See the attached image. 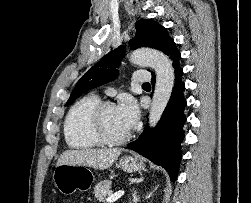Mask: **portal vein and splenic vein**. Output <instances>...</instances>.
Segmentation results:
<instances>
[{
  "label": "portal vein and splenic vein",
  "instance_id": "1",
  "mask_svg": "<svg viewBox=\"0 0 251 203\" xmlns=\"http://www.w3.org/2000/svg\"><path fill=\"white\" fill-rule=\"evenodd\" d=\"M123 194H124V191H118V192L108 196L106 198V201L109 202V203H112V202L118 200L119 198H121L123 196Z\"/></svg>",
  "mask_w": 251,
  "mask_h": 203
}]
</instances>
